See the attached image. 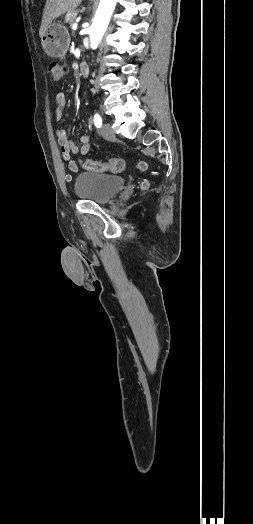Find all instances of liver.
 <instances>
[{"label": "liver", "instance_id": "liver-1", "mask_svg": "<svg viewBox=\"0 0 253 524\" xmlns=\"http://www.w3.org/2000/svg\"><path fill=\"white\" fill-rule=\"evenodd\" d=\"M82 0H47L43 12L39 36L42 38L49 24L57 17L74 11Z\"/></svg>", "mask_w": 253, "mask_h": 524}]
</instances>
